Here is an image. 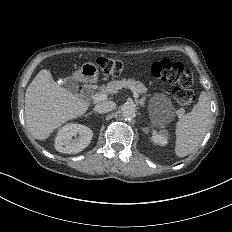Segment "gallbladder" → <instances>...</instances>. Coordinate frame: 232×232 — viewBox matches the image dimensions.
<instances>
[{"label":"gallbladder","instance_id":"obj_1","mask_svg":"<svg viewBox=\"0 0 232 232\" xmlns=\"http://www.w3.org/2000/svg\"><path fill=\"white\" fill-rule=\"evenodd\" d=\"M63 85L71 92H77L79 89L78 82L71 78L63 79Z\"/></svg>","mask_w":232,"mask_h":232}]
</instances>
